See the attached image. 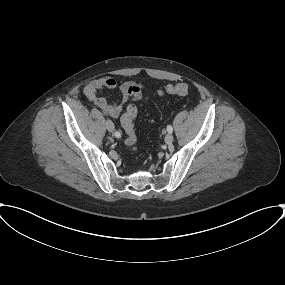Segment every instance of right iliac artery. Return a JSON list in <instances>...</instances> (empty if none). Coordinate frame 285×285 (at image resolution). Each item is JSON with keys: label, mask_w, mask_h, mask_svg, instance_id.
Returning <instances> with one entry per match:
<instances>
[{"label": "right iliac artery", "mask_w": 285, "mask_h": 285, "mask_svg": "<svg viewBox=\"0 0 285 285\" xmlns=\"http://www.w3.org/2000/svg\"><path fill=\"white\" fill-rule=\"evenodd\" d=\"M115 136H116L117 138L121 137L120 132H119V131H116V132H115Z\"/></svg>", "instance_id": "1"}]
</instances>
